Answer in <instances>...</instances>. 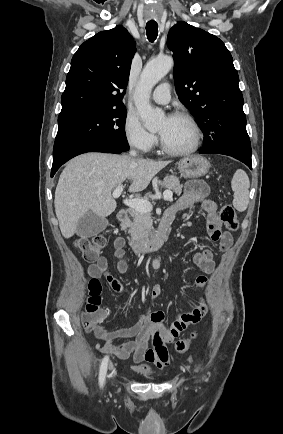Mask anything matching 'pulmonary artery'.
<instances>
[{
    "label": "pulmonary artery",
    "instance_id": "pulmonary-artery-1",
    "mask_svg": "<svg viewBox=\"0 0 283 434\" xmlns=\"http://www.w3.org/2000/svg\"><path fill=\"white\" fill-rule=\"evenodd\" d=\"M152 100L158 104H167L170 101V85L168 83L158 85L153 91Z\"/></svg>",
    "mask_w": 283,
    "mask_h": 434
}]
</instances>
